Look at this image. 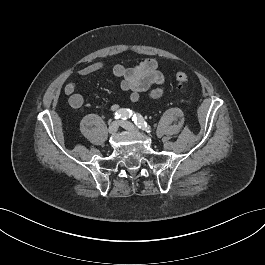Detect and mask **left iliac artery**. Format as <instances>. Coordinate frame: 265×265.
Masks as SVG:
<instances>
[{
    "label": "left iliac artery",
    "mask_w": 265,
    "mask_h": 265,
    "mask_svg": "<svg viewBox=\"0 0 265 265\" xmlns=\"http://www.w3.org/2000/svg\"><path fill=\"white\" fill-rule=\"evenodd\" d=\"M132 121L138 126V128L151 132L150 126L144 121L143 117L140 114H134Z\"/></svg>",
    "instance_id": "1"
}]
</instances>
